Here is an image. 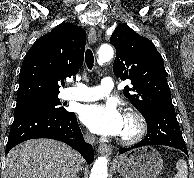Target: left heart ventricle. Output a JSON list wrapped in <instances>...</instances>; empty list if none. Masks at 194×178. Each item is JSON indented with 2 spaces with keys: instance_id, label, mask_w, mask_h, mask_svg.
Here are the masks:
<instances>
[{
  "instance_id": "obj_1",
  "label": "left heart ventricle",
  "mask_w": 194,
  "mask_h": 178,
  "mask_svg": "<svg viewBox=\"0 0 194 178\" xmlns=\"http://www.w3.org/2000/svg\"><path fill=\"white\" fill-rule=\"evenodd\" d=\"M134 131V124L131 120L124 117V130L121 136H128Z\"/></svg>"
}]
</instances>
